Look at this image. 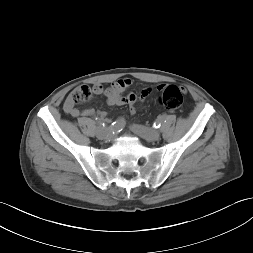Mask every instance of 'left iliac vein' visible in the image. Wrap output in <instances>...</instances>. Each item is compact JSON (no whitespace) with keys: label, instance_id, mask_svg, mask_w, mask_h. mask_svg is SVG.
<instances>
[{"label":"left iliac vein","instance_id":"left-iliac-vein-1","mask_svg":"<svg viewBox=\"0 0 253 253\" xmlns=\"http://www.w3.org/2000/svg\"><path fill=\"white\" fill-rule=\"evenodd\" d=\"M131 131L134 132L136 135L142 137L147 141H158L160 140V132L156 130H149L141 125L133 124L130 127Z\"/></svg>","mask_w":253,"mask_h":253}]
</instances>
